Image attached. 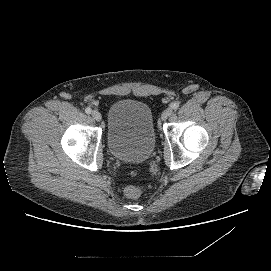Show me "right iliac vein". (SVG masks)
Returning <instances> with one entry per match:
<instances>
[{
    "label": "right iliac vein",
    "instance_id": "63e3f726",
    "mask_svg": "<svg viewBox=\"0 0 271 271\" xmlns=\"http://www.w3.org/2000/svg\"><path fill=\"white\" fill-rule=\"evenodd\" d=\"M92 117H93V119H94L95 121H97V122H100V121L102 120V115H101V113L98 112V111H96V110H94V111L92 112Z\"/></svg>",
    "mask_w": 271,
    "mask_h": 271
}]
</instances>
